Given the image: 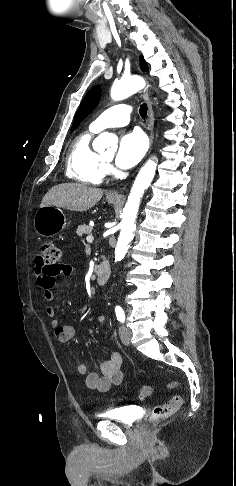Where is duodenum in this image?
Masks as SVG:
<instances>
[{
  "mask_svg": "<svg viewBox=\"0 0 236 486\" xmlns=\"http://www.w3.org/2000/svg\"><path fill=\"white\" fill-rule=\"evenodd\" d=\"M111 273V268L108 260L104 259L96 268V281L99 285L107 283Z\"/></svg>",
  "mask_w": 236,
  "mask_h": 486,
  "instance_id": "obj_1",
  "label": "duodenum"
}]
</instances>
